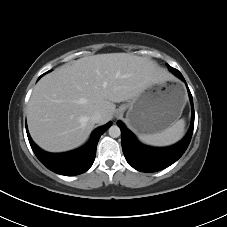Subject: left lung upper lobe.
Instances as JSON below:
<instances>
[{
	"label": "left lung upper lobe",
	"instance_id": "5c2ea615",
	"mask_svg": "<svg viewBox=\"0 0 227 227\" xmlns=\"http://www.w3.org/2000/svg\"><path fill=\"white\" fill-rule=\"evenodd\" d=\"M167 67L169 68V69H171L172 67L171 66H169V65H167Z\"/></svg>",
	"mask_w": 227,
	"mask_h": 227
}]
</instances>
